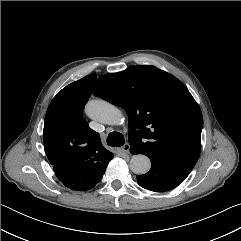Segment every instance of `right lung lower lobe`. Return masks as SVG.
<instances>
[{
    "label": "right lung lower lobe",
    "instance_id": "right-lung-lower-lobe-1",
    "mask_svg": "<svg viewBox=\"0 0 241 241\" xmlns=\"http://www.w3.org/2000/svg\"><path fill=\"white\" fill-rule=\"evenodd\" d=\"M107 165L63 162L53 164V170L66 187L82 191L93 188L101 180Z\"/></svg>",
    "mask_w": 241,
    "mask_h": 241
}]
</instances>
